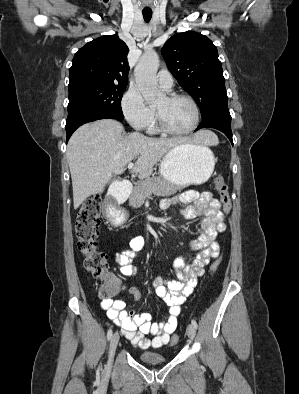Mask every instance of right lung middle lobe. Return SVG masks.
<instances>
[{"label":"right lung middle lobe","mask_w":299,"mask_h":394,"mask_svg":"<svg viewBox=\"0 0 299 394\" xmlns=\"http://www.w3.org/2000/svg\"><path fill=\"white\" fill-rule=\"evenodd\" d=\"M126 85L87 83L69 87L68 110L79 107L104 109L124 117L121 109L122 94Z\"/></svg>","instance_id":"dd1d6c3e"}]
</instances>
